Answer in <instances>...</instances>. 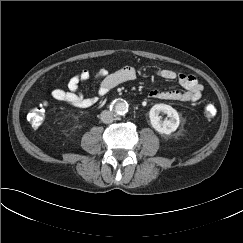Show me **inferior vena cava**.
<instances>
[{
  "label": "inferior vena cava",
  "instance_id": "1",
  "mask_svg": "<svg viewBox=\"0 0 243 243\" xmlns=\"http://www.w3.org/2000/svg\"><path fill=\"white\" fill-rule=\"evenodd\" d=\"M100 119L103 123L109 124L113 122L114 116L112 112L104 110L100 114Z\"/></svg>",
  "mask_w": 243,
  "mask_h": 243
}]
</instances>
